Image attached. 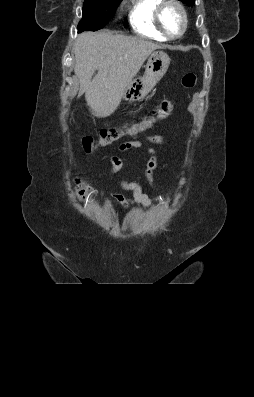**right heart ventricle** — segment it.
<instances>
[{"instance_id":"right-heart-ventricle-1","label":"right heart ventricle","mask_w":254,"mask_h":397,"mask_svg":"<svg viewBox=\"0 0 254 397\" xmlns=\"http://www.w3.org/2000/svg\"><path fill=\"white\" fill-rule=\"evenodd\" d=\"M161 0H131L129 21L133 30L146 38L166 41L155 24V10Z\"/></svg>"}]
</instances>
